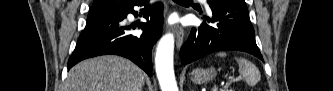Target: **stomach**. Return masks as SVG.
<instances>
[{
	"label": "stomach",
	"instance_id": "1",
	"mask_svg": "<svg viewBox=\"0 0 333 91\" xmlns=\"http://www.w3.org/2000/svg\"><path fill=\"white\" fill-rule=\"evenodd\" d=\"M215 75L213 69L196 68L191 74V80L196 84H203L212 80Z\"/></svg>",
	"mask_w": 333,
	"mask_h": 91
}]
</instances>
